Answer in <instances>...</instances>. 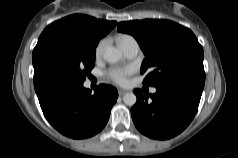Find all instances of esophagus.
Masks as SVG:
<instances>
[{"mask_svg":"<svg viewBox=\"0 0 238 158\" xmlns=\"http://www.w3.org/2000/svg\"><path fill=\"white\" fill-rule=\"evenodd\" d=\"M126 93V91L125 90H118V94L120 95V96H123L124 94Z\"/></svg>","mask_w":238,"mask_h":158,"instance_id":"esophagus-1","label":"esophagus"}]
</instances>
